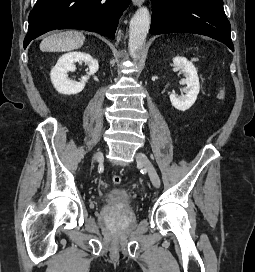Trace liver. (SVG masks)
I'll return each mask as SVG.
<instances>
[{
	"instance_id": "obj_1",
	"label": "liver",
	"mask_w": 255,
	"mask_h": 272,
	"mask_svg": "<svg viewBox=\"0 0 255 272\" xmlns=\"http://www.w3.org/2000/svg\"><path fill=\"white\" fill-rule=\"evenodd\" d=\"M84 41L85 36L81 32H59L45 37L40 43V50L43 52L71 51L80 48Z\"/></svg>"
}]
</instances>
